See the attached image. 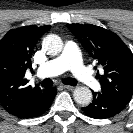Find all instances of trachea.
<instances>
[{"label":"trachea","instance_id":"3493384b","mask_svg":"<svg viewBox=\"0 0 133 133\" xmlns=\"http://www.w3.org/2000/svg\"><path fill=\"white\" fill-rule=\"evenodd\" d=\"M63 83L67 85H72V86L77 85V81L73 78H65L63 80ZM52 85H53V81L49 78H46L41 82L42 87H51Z\"/></svg>","mask_w":133,"mask_h":133}]
</instances>
